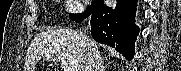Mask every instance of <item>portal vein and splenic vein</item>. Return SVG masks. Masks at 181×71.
<instances>
[{
    "label": "portal vein and splenic vein",
    "instance_id": "obj_1",
    "mask_svg": "<svg viewBox=\"0 0 181 71\" xmlns=\"http://www.w3.org/2000/svg\"><path fill=\"white\" fill-rule=\"evenodd\" d=\"M59 61L61 62V65L63 66L65 71H72L69 67L68 64L65 60V58H63L62 56H58ZM46 60H49L48 58Z\"/></svg>",
    "mask_w": 181,
    "mask_h": 71
}]
</instances>
